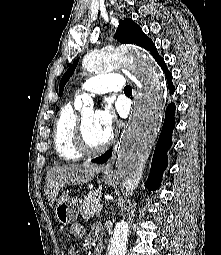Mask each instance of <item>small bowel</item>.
I'll return each mask as SVG.
<instances>
[{
  "label": "small bowel",
  "instance_id": "1",
  "mask_svg": "<svg viewBox=\"0 0 221 255\" xmlns=\"http://www.w3.org/2000/svg\"><path fill=\"white\" fill-rule=\"evenodd\" d=\"M70 233L72 234V236L76 238H81L86 234V230L82 224L76 223L71 227ZM95 234L98 237L101 235V230L99 227L95 228ZM67 255H76V253L73 249H69L67 251Z\"/></svg>",
  "mask_w": 221,
  "mask_h": 255
}]
</instances>
